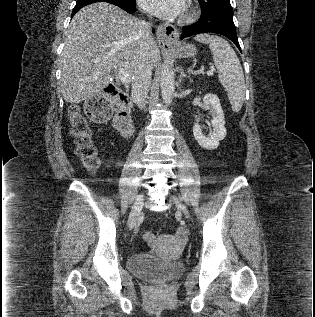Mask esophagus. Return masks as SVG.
I'll return each mask as SVG.
<instances>
[{"instance_id":"esophagus-1","label":"esophagus","mask_w":315,"mask_h":317,"mask_svg":"<svg viewBox=\"0 0 315 317\" xmlns=\"http://www.w3.org/2000/svg\"><path fill=\"white\" fill-rule=\"evenodd\" d=\"M156 37L159 45L164 49H168L179 38V31L172 25L159 24L156 30Z\"/></svg>"}]
</instances>
